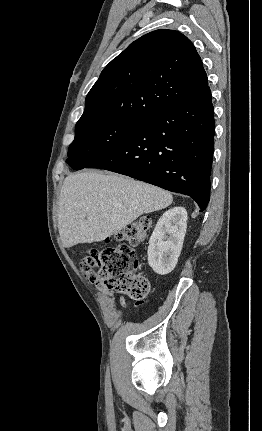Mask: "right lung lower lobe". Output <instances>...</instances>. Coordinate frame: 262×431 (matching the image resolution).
I'll use <instances>...</instances> for the list:
<instances>
[{"label":"right lung lower lobe","mask_w":262,"mask_h":431,"mask_svg":"<svg viewBox=\"0 0 262 431\" xmlns=\"http://www.w3.org/2000/svg\"><path fill=\"white\" fill-rule=\"evenodd\" d=\"M214 132V109L207 87L141 120L86 168L106 169L188 195L202 212L210 199Z\"/></svg>","instance_id":"obj_1"}]
</instances>
